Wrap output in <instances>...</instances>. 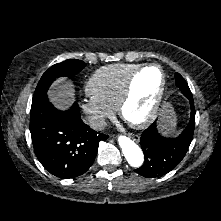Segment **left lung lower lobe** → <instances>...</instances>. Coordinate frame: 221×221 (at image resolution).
I'll return each mask as SVG.
<instances>
[{"label": "left lung lower lobe", "mask_w": 221, "mask_h": 221, "mask_svg": "<svg viewBox=\"0 0 221 221\" xmlns=\"http://www.w3.org/2000/svg\"><path fill=\"white\" fill-rule=\"evenodd\" d=\"M191 106L190 121L176 138L161 136L156 123L150 125L140 136V146L145 161L135 172L148 178L162 176L173 170L184 158L193 139L195 127V107L193 97L188 98Z\"/></svg>", "instance_id": "0a47b994"}]
</instances>
